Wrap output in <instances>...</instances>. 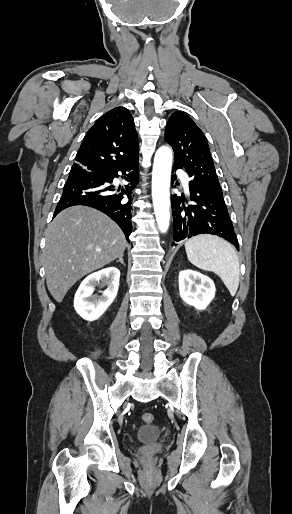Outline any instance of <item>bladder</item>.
<instances>
[{"label": "bladder", "mask_w": 292, "mask_h": 514, "mask_svg": "<svg viewBox=\"0 0 292 514\" xmlns=\"http://www.w3.org/2000/svg\"><path fill=\"white\" fill-rule=\"evenodd\" d=\"M160 436V429L154 424H147L141 426L134 437L135 441L138 442H152Z\"/></svg>", "instance_id": "1"}]
</instances>
